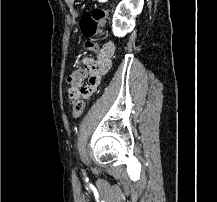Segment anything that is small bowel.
<instances>
[{
	"label": "small bowel",
	"instance_id": "obj_1",
	"mask_svg": "<svg viewBox=\"0 0 217 202\" xmlns=\"http://www.w3.org/2000/svg\"><path fill=\"white\" fill-rule=\"evenodd\" d=\"M114 52L115 45L112 42H106L98 51L97 59L90 63V70L94 77L90 79L86 93H92L96 87V79L110 70Z\"/></svg>",
	"mask_w": 217,
	"mask_h": 202
}]
</instances>
